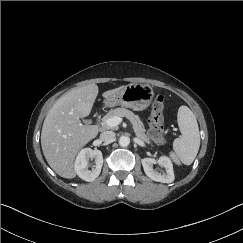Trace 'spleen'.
<instances>
[{
    "instance_id": "spleen-1",
    "label": "spleen",
    "mask_w": 243,
    "mask_h": 243,
    "mask_svg": "<svg viewBox=\"0 0 243 243\" xmlns=\"http://www.w3.org/2000/svg\"><path fill=\"white\" fill-rule=\"evenodd\" d=\"M177 122L181 136L174 140V152H171L170 156L176 164L190 165L197 156L200 147L198 123L194 113L187 106L179 108Z\"/></svg>"
}]
</instances>
